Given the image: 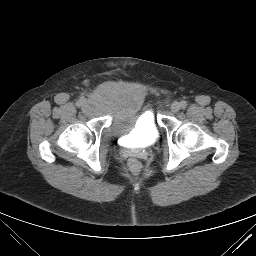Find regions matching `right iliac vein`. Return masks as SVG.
I'll list each match as a JSON object with an SVG mask.
<instances>
[{"label":"right iliac vein","mask_w":256,"mask_h":256,"mask_svg":"<svg viewBox=\"0 0 256 256\" xmlns=\"http://www.w3.org/2000/svg\"><path fill=\"white\" fill-rule=\"evenodd\" d=\"M82 106H83L84 109H88V103H87V101L84 102Z\"/></svg>","instance_id":"right-iliac-vein-1"}]
</instances>
